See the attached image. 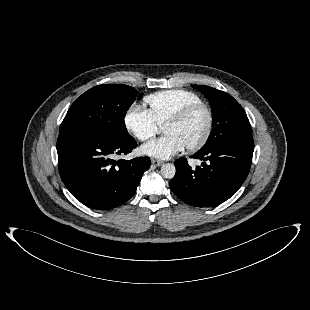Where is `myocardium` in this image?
I'll return each mask as SVG.
<instances>
[{"label":"myocardium","mask_w":310,"mask_h":310,"mask_svg":"<svg viewBox=\"0 0 310 310\" xmlns=\"http://www.w3.org/2000/svg\"><path fill=\"white\" fill-rule=\"evenodd\" d=\"M199 111H203L206 114L207 117L206 129L202 137L197 142L185 147L188 151H197L201 149L210 139L214 127V115L212 109L207 104L196 103L188 107H185L184 109L179 111L176 115L168 119L164 124V125L180 124Z\"/></svg>","instance_id":"f54148a6"}]
</instances>
